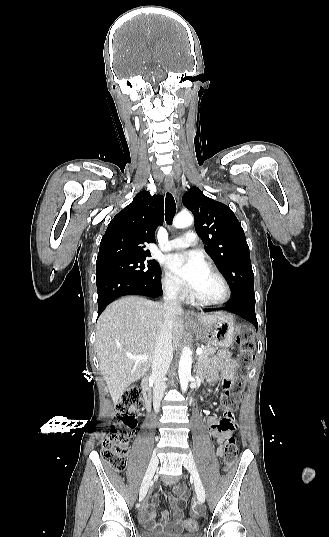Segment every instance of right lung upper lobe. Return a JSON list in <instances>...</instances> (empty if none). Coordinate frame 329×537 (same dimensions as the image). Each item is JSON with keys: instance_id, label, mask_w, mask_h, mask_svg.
<instances>
[{"instance_id": "obj_1", "label": "right lung upper lobe", "mask_w": 329, "mask_h": 537, "mask_svg": "<svg viewBox=\"0 0 329 537\" xmlns=\"http://www.w3.org/2000/svg\"><path fill=\"white\" fill-rule=\"evenodd\" d=\"M163 207L162 195L139 192L109 223L100 242L96 265L151 256L145 247L156 242L155 231L163 222Z\"/></svg>"}]
</instances>
